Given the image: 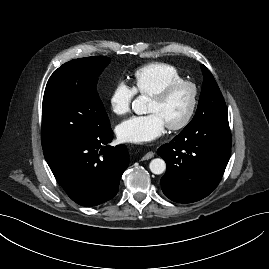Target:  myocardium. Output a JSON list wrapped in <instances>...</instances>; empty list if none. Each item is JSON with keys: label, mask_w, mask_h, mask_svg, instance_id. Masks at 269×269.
<instances>
[{"label": "myocardium", "mask_w": 269, "mask_h": 269, "mask_svg": "<svg viewBox=\"0 0 269 269\" xmlns=\"http://www.w3.org/2000/svg\"><path fill=\"white\" fill-rule=\"evenodd\" d=\"M182 86H187L191 89L192 98H191L190 106L185 116L178 122L166 125L168 129L173 130V131L183 129L192 120L194 113L196 111V108H197V104H198L199 92H198L197 85L194 82L189 81V80L174 81V82L168 83L159 91L155 92L154 94L150 96L152 99H155L157 101H164L172 94L173 91H175L177 88L182 87Z\"/></svg>", "instance_id": "1"}]
</instances>
